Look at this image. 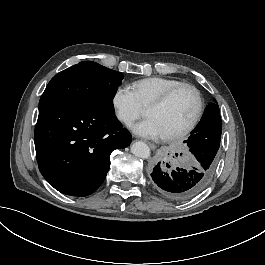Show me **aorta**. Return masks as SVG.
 <instances>
[{
    "instance_id": "obj_1",
    "label": "aorta",
    "mask_w": 265,
    "mask_h": 265,
    "mask_svg": "<svg viewBox=\"0 0 265 265\" xmlns=\"http://www.w3.org/2000/svg\"><path fill=\"white\" fill-rule=\"evenodd\" d=\"M131 152L138 158L149 159L151 156V150L144 142H135L131 146Z\"/></svg>"
}]
</instances>
